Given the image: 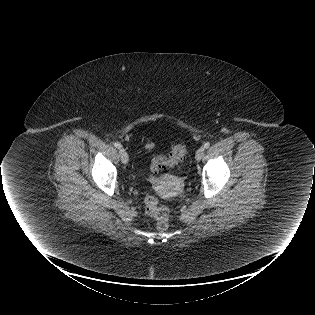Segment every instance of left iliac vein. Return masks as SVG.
I'll return each instance as SVG.
<instances>
[{
  "label": "left iliac vein",
  "instance_id": "4c4485c4",
  "mask_svg": "<svg viewBox=\"0 0 315 315\" xmlns=\"http://www.w3.org/2000/svg\"><path fill=\"white\" fill-rule=\"evenodd\" d=\"M203 155H204V147H201V148H199V149L196 151L195 159H196L197 161H200L201 158L203 157Z\"/></svg>",
  "mask_w": 315,
  "mask_h": 315
}]
</instances>
